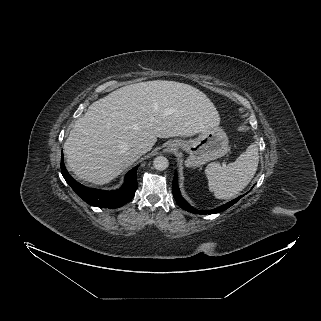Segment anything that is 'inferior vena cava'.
Wrapping results in <instances>:
<instances>
[{
    "label": "inferior vena cava",
    "instance_id": "602c4592",
    "mask_svg": "<svg viewBox=\"0 0 321 321\" xmlns=\"http://www.w3.org/2000/svg\"><path fill=\"white\" fill-rule=\"evenodd\" d=\"M150 150V147L147 144H138L134 147V152L139 155H143Z\"/></svg>",
    "mask_w": 321,
    "mask_h": 321
}]
</instances>
